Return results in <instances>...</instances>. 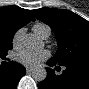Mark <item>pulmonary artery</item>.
<instances>
[{
  "label": "pulmonary artery",
  "instance_id": "pulmonary-artery-1",
  "mask_svg": "<svg viewBox=\"0 0 89 89\" xmlns=\"http://www.w3.org/2000/svg\"><path fill=\"white\" fill-rule=\"evenodd\" d=\"M51 31L50 30H46L42 35L41 38L42 39H47L50 36Z\"/></svg>",
  "mask_w": 89,
  "mask_h": 89
}]
</instances>
